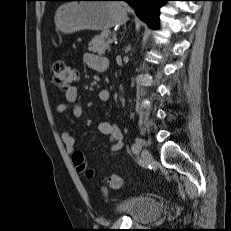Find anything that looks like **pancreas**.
Instances as JSON below:
<instances>
[{
	"label": "pancreas",
	"instance_id": "obj_1",
	"mask_svg": "<svg viewBox=\"0 0 231 231\" xmlns=\"http://www.w3.org/2000/svg\"><path fill=\"white\" fill-rule=\"evenodd\" d=\"M109 31H103L100 35L95 36L89 43V51L93 53H98L99 55H104L106 50L110 49L109 43L107 41Z\"/></svg>",
	"mask_w": 231,
	"mask_h": 231
}]
</instances>
